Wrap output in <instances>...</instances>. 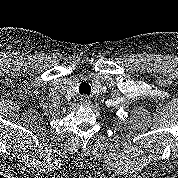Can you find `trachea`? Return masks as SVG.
<instances>
[{"instance_id": "obj_1", "label": "trachea", "mask_w": 178, "mask_h": 178, "mask_svg": "<svg viewBox=\"0 0 178 178\" xmlns=\"http://www.w3.org/2000/svg\"><path fill=\"white\" fill-rule=\"evenodd\" d=\"M91 92V86L89 85V83L87 82H82L80 85H79V93L80 94H87L89 95Z\"/></svg>"}]
</instances>
